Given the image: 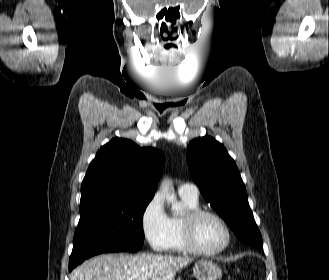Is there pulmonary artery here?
I'll list each match as a JSON object with an SVG mask.
<instances>
[{"mask_svg": "<svg viewBox=\"0 0 329 280\" xmlns=\"http://www.w3.org/2000/svg\"><path fill=\"white\" fill-rule=\"evenodd\" d=\"M178 192L180 195L187 196L191 199L198 200L199 190L198 187L191 183H183L179 186Z\"/></svg>", "mask_w": 329, "mask_h": 280, "instance_id": "pulmonary-artery-1", "label": "pulmonary artery"}]
</instances>
